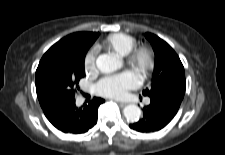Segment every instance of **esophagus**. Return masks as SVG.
I'll return each mask as SVG.
<instances>
[{
    "label": "esophagus",
    "mask_w": 225,
    "mask_h": 155,
    "mask_svg": "<svg viewBox=\"0 0 225 155\" xmlns=\"http://www.w3.org/2000/svg\"><path fill=\"white\" fill-rule=\"evenodd\" d=\"M119 104L120 107H125L127 105L126 102H117Z\"/></svg>",
    "instance_id": "1"
}]
</instances>
